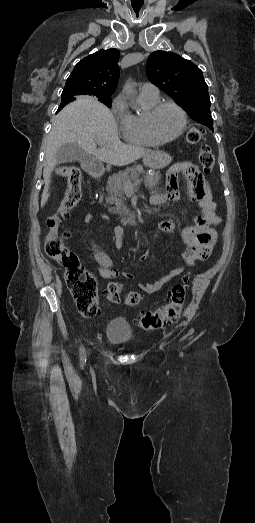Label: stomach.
<instances>
[{"label": "stomach", "instance_id": "1", "mask_svg": "<svg viewBox=\"0 0 255 523\" xmlns=\"http://www.w3.org/2000/svg\"><path fill=\"white\" fill-rule=\"evenodd\" d=\"M145 166L151 170H162L165 168L164 164L172 160V153L170 151H159L157 154H149L145 156Z\"/></svg>", "mask_w": 255, "mask_h": 523}]
</instances>
